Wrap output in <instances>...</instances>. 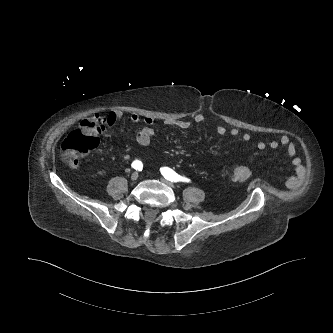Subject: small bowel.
<instances>
[{
  "label": "small bowel",
  "mask_w": 333,
  "mask_h": 333,
  "mask_svg": "<svg viewBox=\"0 0 333 333\" xmlns=\"http://www.w3.org/2000/svg\"><path fill=\"white\" fill-rule=\"evenodd\" d=\"M122 116H123L122 112L114 111L110 114V121L111 122L117 121V120L121 119ZM130 120L133 123H137L140 121V117L137 114H132L130 116ZM204 120H205V117L203 114H196L192 120H188V119L177 120V121L166 120L165 124L167 126L174 127L179 130H186V129L190 128L192 126V124H197V125L202 124L204 122ZM143 122H144V127L137 133L136 140H137L138 144H140L142 146H147L152 142L153 137H154L153 125H154L155 120L151 116H146L143 118ZM215 131L218 135H225L228 133L229 135H231L233 137L241 136L242 140L245 142H248L251 140V135L249 133L241 134L239 129H237V128L227 129L222 124L216 125ZM267 145L272 149H276L279 146H283L286 149L290 162H291L292 166L294 167L297 176L302 175L303 165H302L301 159L297 156L295 144L291 141L289 136L282 135L279 139L271 140L268 144L263 140H258L256 142V147L260 150L266 148ZM290 183L296 184L297 183L296 178L292 179L290 181Z\"/></svg>",
  "instance_id": "small-bowel-1"
}]
</instances>
